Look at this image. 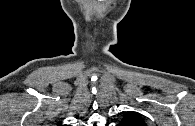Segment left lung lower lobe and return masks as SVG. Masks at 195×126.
Wrapping results in <instances>:
<instances>
[{"label":"left lung lower lobe","mask_w":195,"mask_h":126,"mask_svg":"<svg viewBox=\"0 0 195 126\" xmlns=\"http://www.w3.org/2000/svg\"><path fill=\"white\" fill-rule=\"evenodd\" d=\"M117 126H125L124 124H122V123H119Z\"/></svg>","instance_id":"obj_1"}]
</instances>
